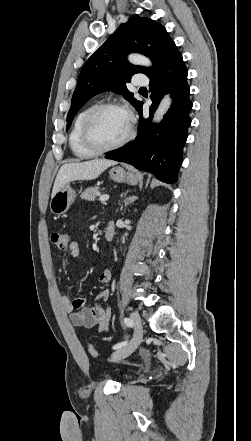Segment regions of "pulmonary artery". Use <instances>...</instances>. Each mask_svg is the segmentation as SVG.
I'll use <instances>...</instances> for the list:
<instances>
[{
    "label": "pulmonary artery",
    "instance_id": "e3ab8cb5",
    "mask_svg": "<svg viewBox=\"0 0 251 441\" xmlns=\"http://www.w3.org/2000/svg\"><path fill=\"white\" fill-rule=\"evenodd\" d=\"M133 84L136 86H145L148 84V79L143 75H135L133 78Z\"/></svg>",
    "mask_w": 251,
    "mask_h": 441
}]
</instances>
